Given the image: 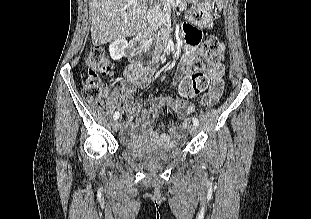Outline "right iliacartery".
Returning a JSON list of instances; mask_svg holds the SVG:
<instances>
[{"label":"right iliac artery","mask_w":311,"mask_h":219,"mask_svg":"<svg viewBox=\"0 0 311 219\" xmlns=\"http://www.w3.org/2000/svg\"><path fill=\"white\" fill-rule=\"evenodd\" d=\"M119 112L117 111V112H115L114 113V115H113V118H114V120H117L118 118H119Z\"/></svg>","instance_id":"obj_1"}]
</instances>
